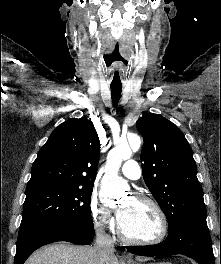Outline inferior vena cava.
I'll list each match as a JSON object with an SVG mask.
<instances>
[{"label": "inferior vena cava", "mask_w": 221, "mask_h": 264, "mask_svg": "<svg viewBox=\"0 0 221 264\" xmlns=\"http://www.w3.org/2000/svg\"><path fill=\"white\" fill-rule=\"evenodd\" d=\"M95 249L102 260H105L108 256H114L113 240L103 229H98L96 233Z\"/></svg>", "instance_id": "inferior-vena-cava-1"}]
</instances>
